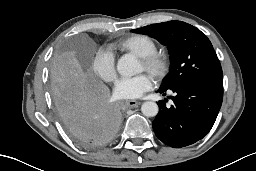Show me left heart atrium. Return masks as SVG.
Wrapping results in <instances>:
<instances>
[{
	"label": "left heart atrium",
	"instance_id": "1",
	"mask_svg": "<svg viewBox=\"0 0 256 171\" xmlns=\"http://www.w3.org/2000/svg\"><path fill=\"white\" fill-rule=\"evenodd\" d=\"M153 86L152 79L146 74L119 79L114 87V96L118 99H137Z\"/></svg>",
	"mask_w": 256,
	"mask_h": 171
}]
</instances>
